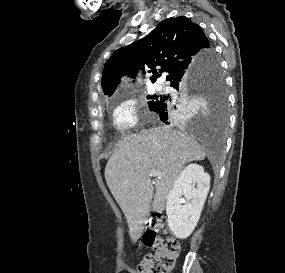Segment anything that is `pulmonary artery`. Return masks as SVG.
Masks as SVG:
<instances>
[{"label": "pulmonary artery", "instance_id": "obj_1", "mask_svg": "<svg viewBox=\"0 0 285 273\" xmlns=\"http://www.w3.org/2000/svg\"><path fill=\"white\" fill-rule=\"evenodd\" d=\"M166 87L167 86L165 84L161 83V84L157 85V90L162 91V90L166 89Z\"/></svg>", "mask_w": 285, "mask_h": 273}]
</instances>
